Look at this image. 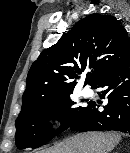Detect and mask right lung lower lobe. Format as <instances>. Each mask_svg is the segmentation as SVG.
<instances>
[{"label":"right lung lower lobe","instance_id":"obj_1","mask_svg":"<svg viewBox=\"0 0 130 153\" xmlns=\"http://www.w3.org/2000/svg\"><path fill=\"white\" fill-rule=\"evenodd\" d=\"M93 88H103L100 97L107 99L103 111L89 101L68 128L74 131L118 130L130 134V59L104 74Z\"/></svg>","mask_w":130,"mask_h":153}]
</instances>
